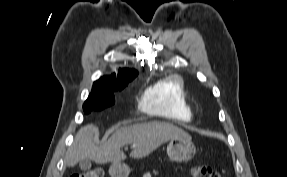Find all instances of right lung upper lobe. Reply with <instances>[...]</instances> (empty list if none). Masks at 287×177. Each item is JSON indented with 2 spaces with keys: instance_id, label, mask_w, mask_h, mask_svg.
Returning a JSON list of instances; mask_svg holds the SVG:
<instances>
[{
  "instance_id": "right-lung-upper-lobe-1",
  "label": "right lung upper lobe",
  "mask_w": 287,
  "mask_h": 177,
  "mask_svg": "<svg viewBox=\"0 0 287 177\" xmlns=\"http://www.w3.org/2000/svg\"><path fill=\"white\" fill-rule=\"evenodd\" d=\"M138 72L134 69H119L117 78L116 75L113 74L111 76H103L94 84L99 86H117L125 83H129L137 76Z\"/></svg>"
}]
</instances>
